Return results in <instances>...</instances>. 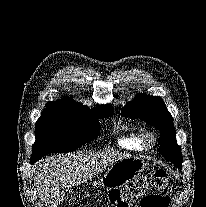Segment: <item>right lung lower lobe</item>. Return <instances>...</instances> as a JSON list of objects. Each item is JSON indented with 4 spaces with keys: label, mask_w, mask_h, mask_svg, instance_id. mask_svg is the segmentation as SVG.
Segmentation results:
<instances>
[{
    "label": "right lung lower lobe",
    "mask_w": 206,
    "mask_h": 207,
    "mask_svg": "<svg viewBox=\"0 0 206 207\" xmlns=\"http://www.w3.org/2000/svg\"><path fill=\"white\" fill-rule=\"evenodd\" d=\"M39 159H40L39 157L31 158L30 163L33 164V163H35L36 161H38Z\"/></svg>",
    "instance_id": "obj_1"
}]
</instances>
